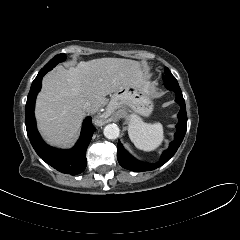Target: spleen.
Returning <instances> with one entry per match:
<instances>
[{"label": "spleen", "mask_w": 240, "mask_h": 240, "mask_svg": "<svg viewBox=\"0 0 240 240\" xmlns=\"http://www.w3.org/2000/svg\"><path fill=\"white\" fill-rule=\"evenodd\" d=\"M128 134L134 145L143 151L157 149L164 140L163 126L160 123H145L136 115L130 117Z\"/></svg>", "instance_id": "1"}]
</instances>
